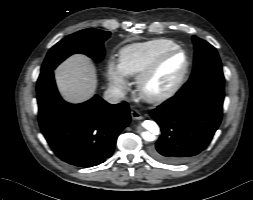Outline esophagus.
Here are the masks:
<instances>
[{"mask_svg": "<svg viewBox=\"0 0 253 200\" xmlns=\"http://www.w3.org/2000/svg\"><path fill=\"white\" fill-rule=\"evenodd\" d=\"M131 117L134 120H142L143 119L142 115L137 110L131 111Z\"/></svg>", "mask_w": 253, "mask_h": 200, "instance_id": "esophagus-1", "label": "esophagus"}]
</instances>
